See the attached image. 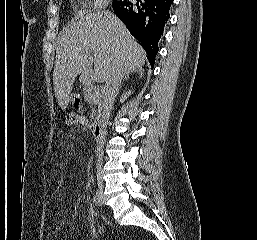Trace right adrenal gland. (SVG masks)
<instances>
[{
  "label": "right adrenal gland",
  "mask_w": 257,
  "mask_h": 240,
  "mask_svg": "<svg viewBox=\"0 0 257 240\" xmlns=\"http://www.w3.org/2000/svg\"><path fill=\"white\" fill-rule=\"evenodd\" d=\"M134 74H139V75H143V71L142 69H137V70H133V71H125L122 73V76H121V80H120V85H119V89L121 88V84L123 81L125 80H128L130 78L131 75H134Z\"/></svg>",
  "instance_id": "1"
}]
</instances>
